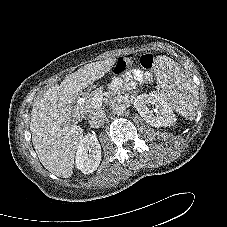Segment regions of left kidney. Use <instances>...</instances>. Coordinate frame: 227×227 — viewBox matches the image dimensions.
I'll return each mask as SVG.
<instances>
[{
	"label": "left kidney",
	"instance_id": "obj_1",
	"mask_svg": "<svg viewBox=\"0 0 227 227\" xmlns=\"http://www.w3.org/2000/svg\"><path fill=\"white\" fill-rule=\"evenodd\" d=\"M151 105L153 109L150 108ZM134 107L152 127H167L176 122L175 114L169 104L156 92L137 96Z\"/></svg>",
	"mask_w": 227,
	"mask_h": 227
}]
</instances>
